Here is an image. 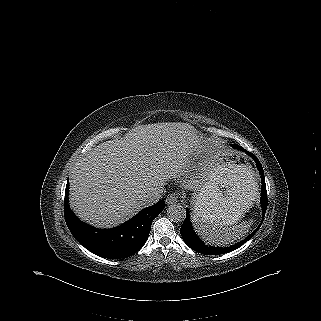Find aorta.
<instances>
[{
	"instance_id": "1",
	"label": "aorta",
	"mask_w": 321,
	"mask_h": 321,
	"mask_svg": "<svg viewBox=\"0 0 321 321\" xmlns=\"http://www.w3.org/2000/svg\"><path fill=\"white\" fill-rule=\"evenodd\" d=\"M167 215L172 221L182 222L186 217V210L181 204L175 203L168 207Z\"/></svg>"
}]
</instances>
